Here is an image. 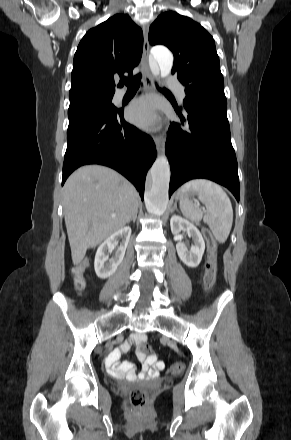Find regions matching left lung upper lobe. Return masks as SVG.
Masks as SVG:
<instances>
[{
  "label": "left lung upper lobe",
  "mask_w": 291,
  "mask_h": 440,
  "mask_svg": "<svg viewBox=\"0 0 291 440\" xmlns=\"http://www.w3.org/2000/svg\"><path fill=\"white\" fill-rule=\"evenodd\" d=\"M149 42L173 52L172 74L185 86L183 104L195 100L227 106L215 42L200 24L176 12H164L151 25Z\"/></svg>",
  "instance_id": "1"
}]
</instances>
